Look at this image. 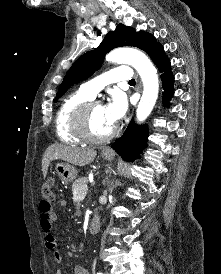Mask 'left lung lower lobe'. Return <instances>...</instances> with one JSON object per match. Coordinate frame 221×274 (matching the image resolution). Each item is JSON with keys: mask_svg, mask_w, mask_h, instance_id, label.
<instances>
[{"mask_svg": "<svg viewBox=\"0 0 221 274\" xmlns=\"http://www.w3.org/2000/svg\"><path fill=\"white\" fill-rule=\"evenodd\" d=\"M149 56L158 67V70L163 72L161 75L163 88L165 89L163 100L167 103L174 94V76L171 72L170 60L165 55L162 45L151 52ZM147 137V128L145 126H138L131 120L123 136L111 146L124 160L133 161L140 157L138 154L144 149Z\"/></svg>", "mask_w": 221, "mask_h": 274, "instance_id": "obj_1", "label": "left lung lower lobe"}]
</instances>
